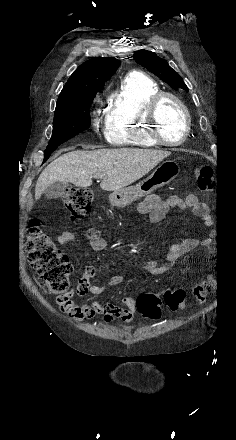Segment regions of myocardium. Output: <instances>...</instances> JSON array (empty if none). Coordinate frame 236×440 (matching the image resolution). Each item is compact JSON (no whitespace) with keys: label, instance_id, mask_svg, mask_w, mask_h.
Segmentation results:
<instances>
[{"label":"myocardium","instance_id":"1","mask_svg":"<svg viewBox=\"0 0 236 440\" xmlns=\"http://www.w3.org/2000/svg\"><path fill=\"white\" fill-rule=\"evenodd\" d=\"M165 99H172L175 101L179 107L181 108L184 119H185V127L183 135L180 139L176 141H170L166 140L160 130V122L158 118V110L161 105V103ZM145 120L148 124V132L150 137L159 145L162 146H177L183 144L190 133L191 129V116L189 113V110L183 100L176 94L172 92L167 91H160L156 93L147 103L146 109H145Z\"/></svg>","mask_w":236,"mask_h":440}]
</instances>
